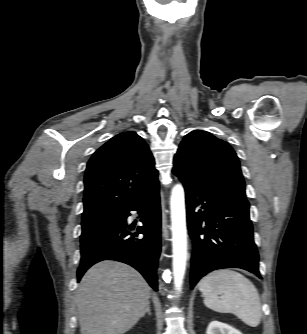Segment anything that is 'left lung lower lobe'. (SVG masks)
Returning <instances> with one entry per match:
<instances>
[{"mask_svg":"<svg viewBox=\"0 0 307 334\" xmlns=\"http://www.w3.org/2000/svg\"><path fill=\"white\" fill-rule=\"evenodd\" d=\"M193 240L190 283L221 268H242L262 279L249 218V202L230 192L181 180Z\"/></svg>","mask_w":307,"mask_h":334,"instance_id":"left-lung-lower-lobe-1","label":"left lung lower lobe"}]
</instances>
